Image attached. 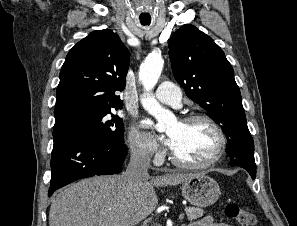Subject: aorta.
I'll list each match as a JSON object with an SVG mask.
<instances>
[{
    "instance_id": "aorta-1",
    "label": "aorta",
    "mask_w": 297,
    "mask_h": 226,
    "mask_svg": "<svg viewBox=\"0 0 297 226\" xmlns=\"http://www.w3.org/2000/svg\"><path fill=\"white\" fill-rule=\"evenodd\" d=\"M164 61L161 56H150L145 59L139 70V80L147 92L141 99L143 108L154 116L158 123L156 128L162 131L168 120L167 111L151 96L150 92L155 87L163 69Z\"/></svg>"
}]
</instances>
